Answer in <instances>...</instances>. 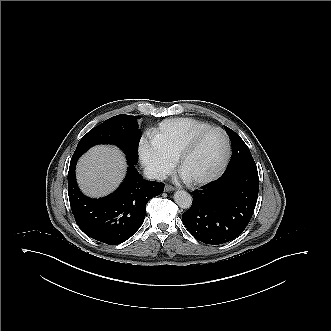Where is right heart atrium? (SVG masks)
Listing matches in <instances>:
<instances>
[{
    "instance_id": "d8ad5b80",
    "label": "right heart atrium",
    "mask_w": 331,
    "mask_h": 331,
    "mask_svg": "<svg viewBox=\"0 0 331 331\" xmlns=\"http://www.w3.org/2000/svg\"><path fill=\"white\" fill-rule=\"evenodd\" d=\"M139 157L148 173L156 178L166 176L173 169L174 156L163 149L157 148L146 138H143L140 142Z\"/></svg>"
}]
</instances>
